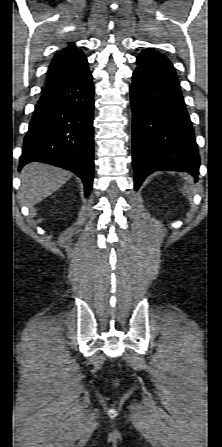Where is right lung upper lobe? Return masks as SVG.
<instances>
[{"label": "right lung upper lobe", "mask_w": 222, "mask_h": 447, "mask_svg": "<svg viewBox=\"0 0 222 447\" xmlns=\"http://www.w3.org/2000/svg\"><path fill=\"white\" fill-rule=\"evenodd\" d=\"M86 57L74 43L68 44L67 48L58 52L49 65L48 78L45 88L51 87L63 80L84 61Z\"/></svg>", "instance_id": "cb5924a9"}]
</instances>
